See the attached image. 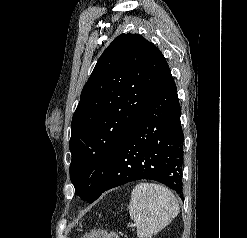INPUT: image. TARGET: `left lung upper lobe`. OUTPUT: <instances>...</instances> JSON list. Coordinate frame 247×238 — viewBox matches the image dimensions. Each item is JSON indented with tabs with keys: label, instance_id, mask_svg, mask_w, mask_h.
Here are the masks:
<instances>
[{
	"label": "left lung upper lobe",
	"instance_id": "left-lung-upper-lobe-1",
	"mask_svg": "<svg viewBox=\"0 0 247 238\" xmlns=\"http://www.w3.org/2000/svg\"><path fill=\"white\" fill-rule=\"evenodd\" d=\"M167 62L141 35L121 34L105 49L85 84L71 123L70 179L92 203L114 157L156 91Z\"/></svg>",
	"mask_w": 247,
	"mask_h": 238
}]
</instances>
